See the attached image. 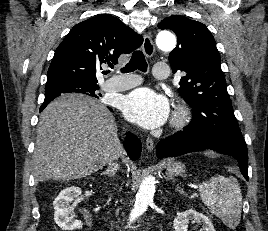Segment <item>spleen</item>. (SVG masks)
Segmentation results:
<instances>
[{
    "instance_id": "3e777b00",
    "label": "spleen",
    "mask_w": 268,
    "mask_h": 231,
    "mask_svg": "<svg viewBox=\"0 0 268 231\" xmlns=\"http://www.w3.org/2000/svg\"><path fill=\"white\" fill-rule=\"evenodd\" d=\"M202 202L230 228L240 223L242 194L236 178L217 175L199 185Z\"/></svg>"
}]
</instances>
